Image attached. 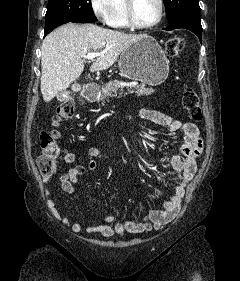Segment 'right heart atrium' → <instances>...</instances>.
Wrapping results in <instances>:
<instances>
[{"mask_svg": "<svg viewBox=\"0 0 240 281\" xmlns=\"http://www.w3.org/2000/svg\"><path fill=\"white\" fill-rule=\"evenodd\" d=\"M113 0H89L90 8L97 19L108 23L112 15Z\"/></svg>", "mask_w": 240, "mask_h": 281, "instance_id": "1", "label": "right heart atrium"}]
</instances>
